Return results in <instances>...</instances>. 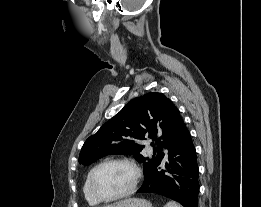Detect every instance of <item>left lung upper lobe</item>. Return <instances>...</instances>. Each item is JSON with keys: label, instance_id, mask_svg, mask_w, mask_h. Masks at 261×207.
Masks as SVG:
<instances>
[{"label": "left lung upper lobe", "instance_id": "5c2ea615", "mask_svg": "<svg viewBox=\"0 0 261 207\" xmlns=\"http://www.w3.org/2000/svg\"><path fill=\"white\" fill-rule=\"evenodd\" d=\"M182 124L180 112L170 99L161 93H147L131 100L85 141L79 163L88 165L106 155L128 154L143 163L146 176L160 164L163 148L172 146ZM146 137L154 140L151 159L140 154L144 148L140 140Z\"/></svg>", "mask_w": 261, "mask_h": 207}]
</instances>
